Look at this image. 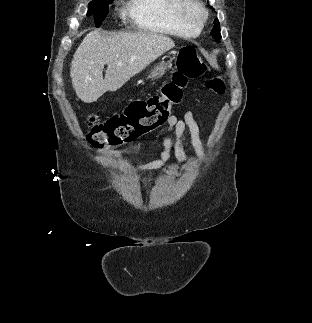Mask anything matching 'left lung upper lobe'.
I'll return each mask as SVG.
<instances>
[{
    "mask_svg": "<svg viewBox=\"0 0 312 323\" xmlns=\"http://www.w3.org/2000/svg\"><path fill=\"white\" fill-rule=\"evenodd\" d=\"M212 8V7H211ZM214 23H215V25H214V27H213V32H212V36H213V38L215 39V40H220V38H221V34H220V24H219V22H218V19H215V21H214Z\"/></svg>",
    "mask_w": 312,
    "mask_h": 323,
    "instance_id": "5c2ea615",
    "label": "left lung upper lobe"
}]
</instances>
